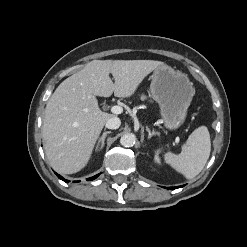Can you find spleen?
<instances>
[{"mask_svg": "<svg viewBox=\"0 0 247 247\" xmlns=\"http://www.w3.org/2000/svg\"><path fill=\"white\" fill-rule=\"evenodd\" d=\"M211 151L210 134L206 126L195 129L188 137L182 152H167L164 160L185 178L197 176L204 168Z\"/></svg>", "mask_w": 247, "mask_h": 247, "instance_id": "obj_1", "label": "spleen"}]
</instances>
